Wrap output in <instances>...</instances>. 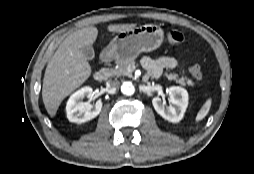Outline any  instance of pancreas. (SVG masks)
Masks as SVG:
<instances>
[{
  "label": "pancreas",
  "mask_w": 254,
  "mask_h": 174,
  "mask_svg": "<svg viewBox=\"0 0 254 174\" xmlns=\"http://www.w3.org/2000/svg\"><path fill=\"white\" fill-rule=\"evenodd\" d=\"M115 68H105L104 71L107 73L108 76L111 77H120V76H128L132 77V72L128 70L129 66L135 65V61L131 59L127 60H119L116 63ZM168 80H174L176 83L185 86L186 84L189 86H193L194 82L190 80L188 77H180L176 73L172 74H165Z\"/></svg>",
  "instance_id": "obj_1"
}]
</instances>
